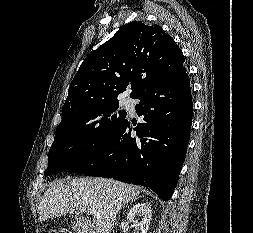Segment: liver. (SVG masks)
I'll list each match as a JSON object with an SVG mask.
<instances>
[{
  "label": "liver",
  "mask_w": 253,
  "mask_h": 233,
  "mask_svg": "<svg viewBox=\"0 0 253 233\" xmlns=\"http://www.w3.org/2000/svg\"><path fill=\"white\" fill-rule=\"evenodd\" d=\"M140 194L136 186L105 178H64L46 190L39 203L41 222L67 213L83 214L95 209L93 233H110L122 206Z\"/></svg>",
  "instance_id": "liver-1"
}]
</instances>
